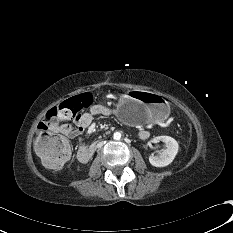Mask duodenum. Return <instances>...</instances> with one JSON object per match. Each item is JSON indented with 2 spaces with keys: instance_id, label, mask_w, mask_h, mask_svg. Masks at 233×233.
<instances>
[{
  "instance_id": "410a0bca",
  "label": "duodenum",
  "mask_w": 233,
  "mask_h": 233,
  "mask_svg": "<svg viewBox=\"0 0 233 233\" xmlns=\"http://www.w3.org/2000/svg\"><path fill=\"white\" fill-rule=\"evenodd\" d=\"M96 149H97V144L91 146H81L77 152V157L79 161L82 163H87L94 155Z\"/></svg>"
}]
</instances>
